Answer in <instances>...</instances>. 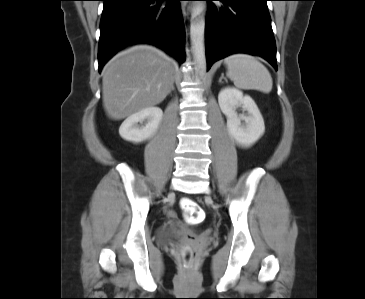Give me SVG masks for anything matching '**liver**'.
I'll use <instances>...</instances> for the list:
<instances>
[{
  "label": "liver",
  "instance_id": "1",
  "mask_svg": "<svg viewBox=\"0 0 365 299\" xmlns=\"http://www.w3.org/2000/svg\"><path fill=\"white\" fill-rule=\"evenodd\" d=\"M175 61L150 45L133 46L103 70V106L114 120L161 103L173 86Z\"/></svg>",
  "mask_w": 365,
  "mask_h": 299
}]
</instances>
